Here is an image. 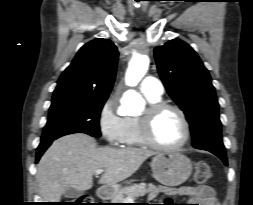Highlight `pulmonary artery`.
Here are the masks:
<instances>
[{
    "instance_id": "1",
    "label": "pulmonary artery",
    "mask_w": 253,
    "mask_h": 205,
    "mask_svg": "<svg viewBox=\"0 0 253 205\" xmlns=\"http://www.w3.org/2000/svg\"><path fill=\"white\" fill-rule=\"evenodd\" d=\"M140 90L145 95L160 97L164 92V87L159 79L153 76H148L142 80Z\"/></svg>"
}]
</instances>
